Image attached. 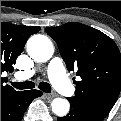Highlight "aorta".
<instances>
[{"label": "aorta", "instance_id": "obj_1", "mask_svg": "<svg viewBox=\"0 0 121 121\" xmlns=\"http://www.w3.org/2000/svg\"><path fill=\"white\" fill-rule=\"evenodd\" d=\"M27 52L34 60L46 62L52 57L54 46L48 37L36 34L29 38ZM51 107L56 115L65 116L69 112L70 104L66 99L55 98L51 103Z\"/></svg>", "mask_w": 121, "mask_h": 121}]
</instances>
